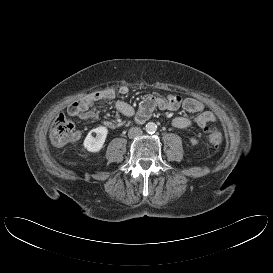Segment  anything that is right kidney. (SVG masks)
I'll list each match as a JSON object with an SVG mask.
<instances>
[{
    "label": "right kidney",
    "instance_id": "1",
    "mask_svg": "<svg viewBox=\"0 0 273 273\" xmlns=\"http://www.w3.org/2000/svg\"><path fill=\"white\" fill-rule=\"evenodd\" d=\"M92 133H95L96 136H93ZM107 134L108 129L104 126H99L91 130L84 140V147L89 152H99L103 148Z\"/></svg>",
    "mask_w": 273,
    "mask_h": 273
}]
</instances>
